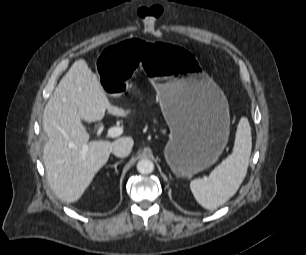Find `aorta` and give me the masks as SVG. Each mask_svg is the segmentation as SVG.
Here are the masks:
<instances>
[{
	"mask_svg": "<svg viewBox=\"0 0 306 255\" xmlns=\"http://www.w3.org/2000/svg\"><path fill=\"white\" fill-rule=\"evenodd\" d=\"M137 170L141 174H150L154 170V163L149 159H141L137 163Z\"/></svg>",
	"mask_w": 306,
	"mask_h": 255,
	"instance_id": "obj_1",
	"label": "aorta"
}]
</instances>
